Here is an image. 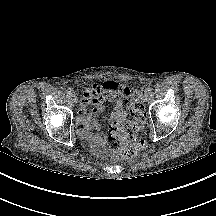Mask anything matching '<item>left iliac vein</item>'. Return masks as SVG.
<instances>
[{"mask_svg": "<svg viewBox=\"0 0 216 216\" xmlns=\"http://www.w3.org/2000/svg\"><path fill=\"white\" fill-rule=\"evenodd\" d=\"M148 94H149V93L146 92V93L143 95L142 98H143V101H144V102L148 101V97H149Z\"/></svg>", "mask_w": 216, "mask_h": 216, "instance_id": "4c4485c4", "label": "left iliac vein"}]
</instances>
